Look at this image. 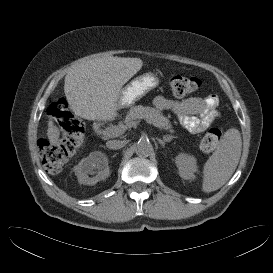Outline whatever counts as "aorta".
I'll use <instances>...</instances> for the list:
<instances>
[{
    "mask_svg": "<svg viewBox=\"0 0 273 273\" xmlns=\"http://www.w3.org/2000/svg\"><path fill=\"white\" fill-rule=\"evenodd\" d=\"M153 151L152 144L148 140H139L135 146V152L138 156H149Z\"/></svg>",
    "mask_w": 273,
    "mask_h": 273,
    "instance_id": "762f6f07",
    "label": "aorta"
}]
</instances>
